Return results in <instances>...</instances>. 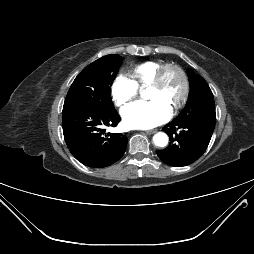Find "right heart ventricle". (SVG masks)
<instances>
[{"mask_svg":"<svg viewBox=\"0 0 254 254\" xmlns=\"http://www.w3.org/2000/svg\"><path fill=\"white\" fill-rule=\"evenodd\" d=\"M163 64L157 61H145L134 65L128 72L129 78L138 88H144L150 84L156 71Z\"/></svg>","mask_w":254,"mask_h":254,"instance_id":"e07e8e85","label":"right heart ventricle"}]
</instances>
